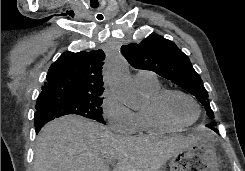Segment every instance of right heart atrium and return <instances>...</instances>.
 <instances>
[{
  "instance_id": "1",
  "label": "right heart atrium",
  "mask_w": 245,
  "mask_h": 171,
  "mask_svg": "<svg viewBox=\"0 0 245 171\" xmlns=\"http://www.w3.org/2000/svg\"><path fill=\"white\" fill-rule=\"evenodd\" d=\"M102 115L109 128L119 134L130 135L137 132L135 112L124 106L111 92H106L102 102Z\"/></svg>"
}]
</instances>
